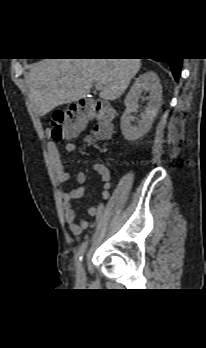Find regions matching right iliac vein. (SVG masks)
I'll return each mask as SVG.
<instances>
[{
    "label": "right iliac vein",
    "mask_w": 206,
    "mask_h": 348,
    "mask_svg": "<svg viewBox=\"0 0 206 348\" xmlns=\"http://www.w3.org/2000/svg\"><path fill=\"white\" fill-rule=\"evenodd\" d=\"M77 278L80 282L84 281V279H85V272H84V267L82 264H80V266L77 270Z\"/></svg>",
    "instance_id": "obj_1"
}]
</instances>
